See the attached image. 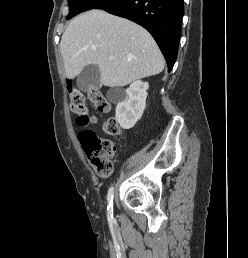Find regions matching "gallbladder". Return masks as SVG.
I'll return each mask as SVG.
<instances>
[{
  "label": "gallbladder",
  "mask_w": 248,
  "mask_h": 258,
  "mask_svg": "<svg viewBox=\"0 0 248 258\" xmlns=\"http://www.w3.org/2000/svg\"><path fill=\"white\" fill-rule=\"evenodd\" d=\"M100 85V70L95 64H89L83 68L77 79V86L83 92Z\"/></svg>",
  "instance_id": "gallbladder-1"
}]
</instances>
